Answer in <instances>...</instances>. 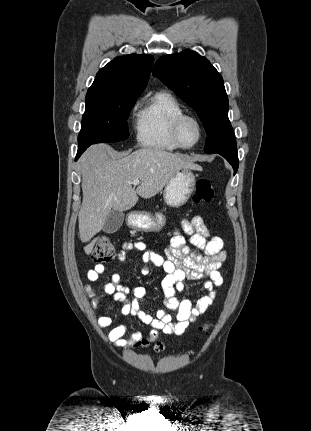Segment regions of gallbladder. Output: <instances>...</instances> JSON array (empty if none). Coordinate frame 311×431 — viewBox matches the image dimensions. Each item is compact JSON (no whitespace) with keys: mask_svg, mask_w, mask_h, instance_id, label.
Instances as JSON below:
<instances>
[{"mask_svg":"<svg viewBox=\"0 0 311 431\" xmlns=\"http://www.w3.org/2000/svg\"><path fill=\"white\" fill-rule=\"evenodd\" d=\"M124 216L125 214H123V212L112 210L105 219V223L102 227L103 231H106V233H114V231L120 229L121 225H123Z\"/></svg>","mask_w":311,"mask_h":431,"instance_id":"1","label":"gallbladder"}]
</instances>
